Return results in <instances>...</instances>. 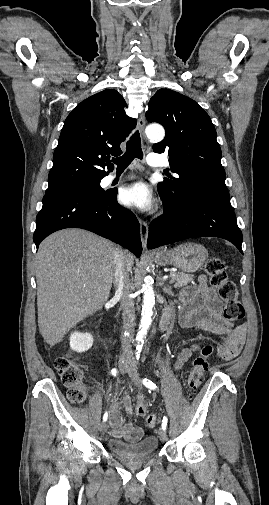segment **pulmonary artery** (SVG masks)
I'll return each mask as SVG.
<instances>
[{
  "label": "pulmonary artery",
  "mask_w": 269,
  "mask_h": 505,
  "mask_svg": "<svg viewBox=\"0 0 269 505\" xmlns=\"http://www.w3.org/2000/svg\"><path fill=\"white\" fill-rule=\"evenodd\" d=\"M147 161H148V164H149L150 166H153V167H166V166H168V164H169V163H168V161H167L165 158H163V157H161V156H159V155H157V154H149V155H148V159H147ZM116 178H117V176H116V175H114V174H112V175H110V176L107 178V181H108L109 183H111V182H113ZM120 178H121V177H120Z\"/></svg>",
  "instance_id": "obj_1"
}]
</instances>
